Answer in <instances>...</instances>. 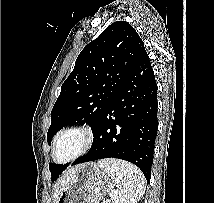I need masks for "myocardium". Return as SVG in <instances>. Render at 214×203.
<instances>
[{
  "mask_svg": "<svg viewBox=\"0 0 214 203\" xmlns=\"http://www.w3.org/2000/svg\"><path fill=\"white\" fill-rule=\"evenodd\" d=\"M70 133L81 134V136L83 138L82 146L79 149V151L77 153H75L73 156L69 157L66 160L59 161L56 157L57 147H58L60 141L62 140V138L65 137L67 134H70ZM93 142H94V133L90 128H88L86 126H81V125L66 127L64 129H62L54 138L53 146H52V152H51L52 159L54 162H56L58 164H68L70 162H73L76 159L83 156L84 154H86L90 150V148L92 147Z\"/></svg>",
  "mask_w": 214,
  "mask_h": 203,
  "instance_id": "1",
  "label": "myocardium"
}]
</instances>
